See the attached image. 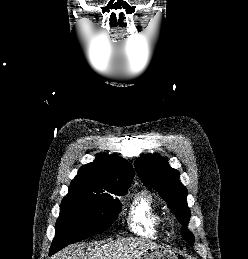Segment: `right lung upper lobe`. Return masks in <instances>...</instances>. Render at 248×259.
Returning a JSON list of instances; mask_svg holds the SVG:
<instances>
[{
	"mask_svg": "<svg viewBox=\"0 0 248 259\" xmlns=\"http://www.w3.org/2000/svg\"><path fill=\"white\" fill-rule=\"evenodd\" d=\"M132 165L118 156L99 153L94 162L82 166L71 181L69 190L117 191L130 187Z\"/></svg>",
	"mask_w": 248,
	"mask_h": 259,
	"instance_id": "obj_1",
	"label": "right lung upper lobe"
}]
</instances>
